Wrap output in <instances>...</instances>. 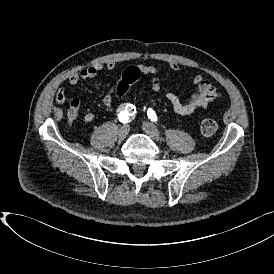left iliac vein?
Returning a JSON list of instances; mask_svg holds the SVG:
<instances>
[{"instance_id":"obj_1","label":"left iliac vein","mask_w":274,"mask_h":274,"mask_svg":"<svg viewBox=\"0 0 274 274\" xmlns=\"http://www.w3.org/2000/svg\"><path fill=\"white\" fill-rule=\"evenodd\" d=\"M142 128H143L144 132L153 140H155V141L161 140L160 132L153 123L143 122Z\"/></svg>"}]
</instances>
